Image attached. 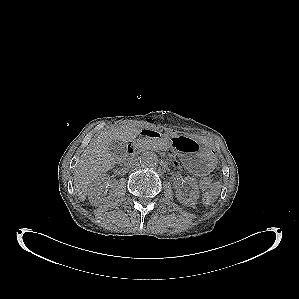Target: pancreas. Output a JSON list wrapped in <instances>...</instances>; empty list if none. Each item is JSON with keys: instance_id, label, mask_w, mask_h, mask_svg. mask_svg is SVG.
<instances>
[{"instance_id": "1", "label": "pancreas", "mask_w": 299, "mask_h": 299, "mask_svg": "<svg viewBox=\"0 0 299 299\" xmlns=\"http://www.w3.org/2000/svg\"><path fill=\"white\" fill-rule=\"evenodd\" d=\"M139 146L142 147V149H149V150L150 149L156 150L162 147V145L157 141H152L145 138L139 140Z\"/></svg>"}]
</instances>
